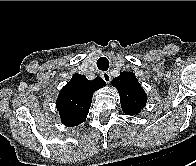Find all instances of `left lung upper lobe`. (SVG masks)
Returning <instances> with one entry per match:
<instances>
[{"label":"left lung upper lobe","instance_id":"1","mask_svg":"<svg viewBox=\"0 0 196 166\" xmlns=\"http://www.w3.org/2000/svg\"><path fill=\"white\" fill-rule=\"evenodd\" d=\"M120 95L122 110L125 114L137 115L144 108L147 101L145 91L132 72H121L120 76L112 80Z\"/></svg>","mask_w":196,"mask_h":166}]
</instances>
